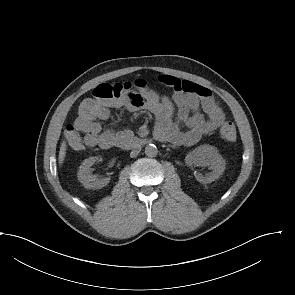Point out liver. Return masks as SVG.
Segmentation results:
<instances>
[{"label":"liver","instance_id":"obj_1","mask_svg":"<svg viewBox=\"0 0 295 295\" xmlns=\"http://www.w3.org/2000/svg\"><path fill=\"white\" fill-rule=\"evenodd\" d=\"M66 156V143L62 142L60 151H59V157H58V162L61 165L65 159Z\"/></svg>","mask_w":295,"mask_h":295}]
</instances>
